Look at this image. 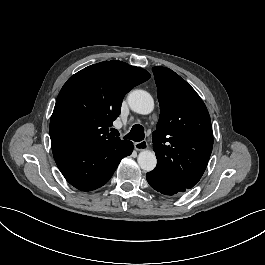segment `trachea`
Segmentation results:
<instances>
[{
  "label": "trachea",
  "mask_w": 265,
  "mask_h": 265,
  "mask_svg": "<svg viewBox=\"0 0 265 265\" xmlns=\"http://www.w3.org/2000/svg\"><path fill=\"white\" fill-rule=\"evenodd\" d=\"M111 132L115 135H120V133L116 129H112ZM144 137H145V132H144L143 126L140 124H135L131 128L130 132L128 134H126L123 138L124 139H131L135 142H140L144 139Z\"/></svg>",
  "instance_id": "3493384b"
}]
</instances>
